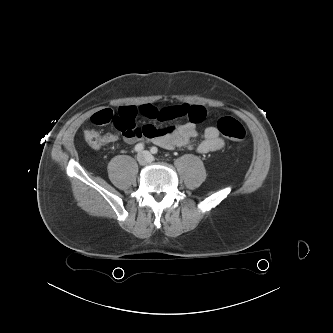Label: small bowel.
Here are the masks:
<instances>
[{
    "label": "small bowel",
    "instance_id": "1",
    "mask_svg": "<svg viewBox=\"0 0 333 333\" xmlns=\"http://www.w3.org/2000/svg\"><path fill=\"white\" fill-rule=\"evenodd\" d=\"M134 108L149 120L161 124L159 126L146 124L141 127L135 126L131 130L121 131L124 140L130 144L147 140L164 149L191 148L193 141L198 137L196 125L203 122L207 114L203 106L189 104L163 109H157L153 105L146 104L139 108ZM178 119L186 121L178 125L171 124ZM117 137L116 134H106L107 143L114 142ZM224 146L225 142L221 138L218 129L211 126L204 130L202 139L196 149L199 153L206 154L219 151Z\"/></svg>",
    "mask_w": 333,
    "mask_h": 333
}]
</instances>
